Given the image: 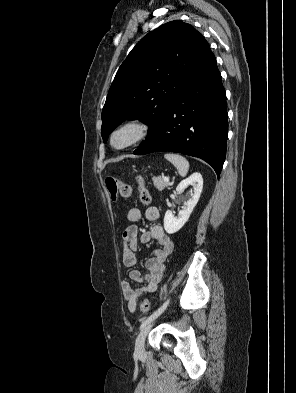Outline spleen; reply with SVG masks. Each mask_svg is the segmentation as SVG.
Wrapping results in <instances>:
<instances>
[{
    "label": "spleen",
    "instance_id": "obj_1",
    "mask_svg": "<svg viewBox=\"0 0 296 393\" xmlns=\"http://www.w3.org/2000/svg\"><path fill=\"white\" fill-rule=\"evenodd\" d=\"M164 157L177 169L180 176L185 177L189 170V162L186 158L178 154H165Z\"/></svg>",
    "mask_w": 296,
    "mask_h": 393
}]
</instances>
